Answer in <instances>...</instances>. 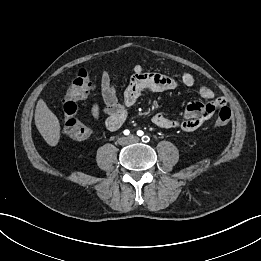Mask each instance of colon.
Masks as SVG:
<instances>
[{
    "label": "colon",
    "mask_w": 261,
    "mask_h": 261,
    "mask_svg": "<svg viewBox=\"0 0 261 261\" xmlns=\"http://www.w3.org/2000/svg\"><path fill=\"white\" fill-rule=\"evenodd\" d=\"M95 88L90 79L88 71L81 68L77 71L76 77L72 81L69 91L67 92L63 104V130L64 133L73 140L81 141L89 137L91 130L83 124L77 117L78 94L89 92ZM232 112L229 107L223 106L219 109L218 117L215 121V127H222L231 121Z\"/></svg>",
    "instance_id": "1"
}]
</instances>
